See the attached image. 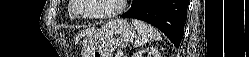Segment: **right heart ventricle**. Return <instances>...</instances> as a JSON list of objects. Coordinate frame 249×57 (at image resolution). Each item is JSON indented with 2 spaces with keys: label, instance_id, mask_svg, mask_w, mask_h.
I'll use <instances>...</instances> for the list:
<instances>
[{
  "label": "right heart ventricle",
  "instance_id": "right-heart-ventricle-1",
  "mask_svg": "<svg viewBox=\"0 0 249 57\" xmlns=\"http://www.w3.org/2000/svg\"><path fill=\"white\" fill-rule=\"evenodd\" d=\"M69 17L71 18V19H74L75 18V15L73 14V11L70 9L69 10Z\"/></svg>",
  "mask_w": 249,
  "mask_h": 57
}]
</instances>
